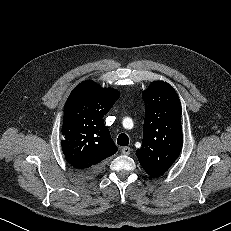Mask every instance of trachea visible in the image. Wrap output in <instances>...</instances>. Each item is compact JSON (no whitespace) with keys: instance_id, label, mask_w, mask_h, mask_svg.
I'll list each match as a JSON object with an SVG mask.
<instances>
[{"instance_id":"trachea-1","label":"trachea","mask_w":231,"mask_h":231,"mask_svg":"<svg viewBox=\"0 0 231 231\" xmlns=\"http://www.w3.org/2000/svg\"><path fill=\"white\" fill-rule=\"evenodd\" d=\"M117 144L120 146H127L129 144V138L126 134L122 133L117 138Z\"/></svg>"}]
</instances>
